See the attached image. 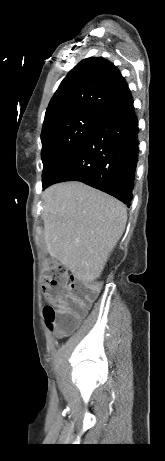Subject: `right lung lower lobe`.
I'll use <instances>...</instances> for the list:
<instances>
[{
	"label": "right lung lower lobe",
	"mask_w": 165,
	"mask_h": 461,
	"mask_svg": "<svg viewBox=\"0 0 165 461\" xmlns=\"http://www.w3.org/2000/svg\"><path fill=\"white\" fill-rule=\"evenodd\" d=\"M138 131L133 103L105 117L43 189L57 182L81 181L129 207L139 153Z\"/></svg>",
	"instance_id": "obj_1"
}]
</instances>
